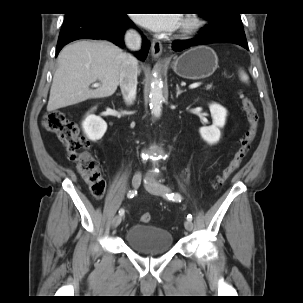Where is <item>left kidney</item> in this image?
<instances>
[{
    "instance_id": "left-kidney-1",
    "label": "left kidney",
    "mask_w": 303,
    "mask_h": 303,
    "mask_svg": "<svg viewBox=\"0 0 303 303\" xmlns=\"http://www.w3.org/2000/svg\"><path fill=\"white\" fill-rule=\"evenodd\" d=\"M209 109L213 119V125L201 127L199 133L204 141L209 144H215L221 138L220 129L225 125L227 110L217 103H211Z\"/></svg>"
}]
</instances>
